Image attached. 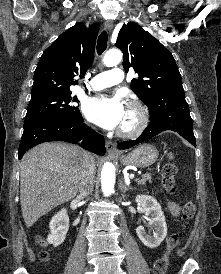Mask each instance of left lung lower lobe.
Returning a JSON list of instances; mask_svg holds the SVG:
<instances>
[{
  "mask_svg": "<svg viewBox=\"0 0 221 274\" xmlns=\"http://www.w3.org/2000/svg\"><path fill=\"white\" fill-rule=\"evenodd\" d=\"M165 130L179 133L193 146H196L192 119L187 102H179L166 109L157 110L154 114L150 115V124L136 140L121 142L118 144V148H131Z\"/></svg>",
  "mask_w": 221,
  "mask_h": 274,
  "instance_id": "obj_1",
  "label": "left lung lower lobe"
}]
</instances>
